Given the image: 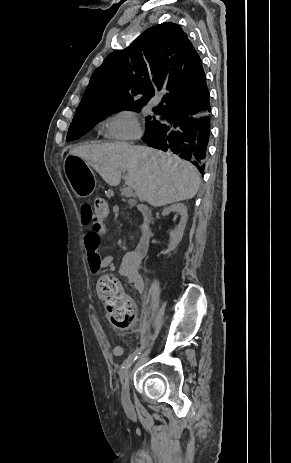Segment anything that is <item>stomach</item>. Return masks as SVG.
<instances>
[{"mask_svg": "<svg viewBox=\"0 0 291 463\" xmlns=\"http://www.w3.org/2000/svg\"><path fill=\"white\" fill-rule=\"evenodd\" d=\"M64 165L66 176L73 192L81 198L91 195L94 191L96 180L89 163L80 157L68 155Z\"/></svg>", "mask_w": 291, "mask_h": 463, "instance_id": "stomach-1", "label": "stomach"}]
</instances>
